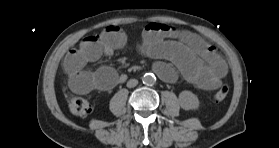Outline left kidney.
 <instances>
[{"label":"left kidney","instance_id":"5707ae66","mask_svg":"<svg viewBox=\"0 0 279 148\" xmlns=\"http://www.w3.org/2000/svg\"><path fill=\"white\" fill-rule=\"evenodd\" d=\"M179 103L184 110H193L199 107L198 97L191 91L184 90L179 94Z\"/></svg>","mask_w":279,"mask_h":148}]
</instances>
